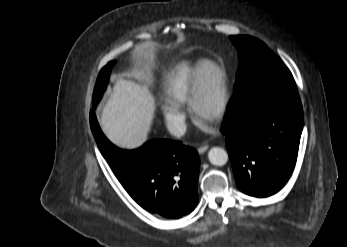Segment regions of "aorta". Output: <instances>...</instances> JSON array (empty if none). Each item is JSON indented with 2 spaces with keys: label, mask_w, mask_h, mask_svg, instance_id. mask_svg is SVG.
I'll use <instances>...</instances> for the list:
<instances>
[{
  "label": "aorta",
  "mask_w": 347,
  "mask_h": 247,
  "mask_svg": "<svg viewBox=\"0 0 347 247\" xmlns=\"http://www.w3.org/2000/svg\"><path fill=\"white\" fill-rule=\"evenodd\" d=\"M208 158L211 164L223 166L228 161V153L220 147H212L208 152Z\"/></svg>",
  "instance_id": "1"
}]
</instances>
